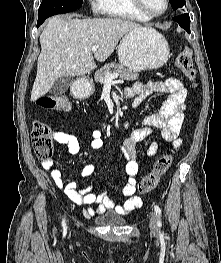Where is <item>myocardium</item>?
Segmentation results:
<instances>
[{
    "label": "myocardium",
    "instance_id": "f54148a6",
    "mask_svg": "<svg viewBox=\"0 0 221 263\" xmlns=\"http://www.w3.org/2000/svg\"><path fill=\"white\" fill-rule=\"evenodd\" d=\"M132 1H133L134 6L136 7V9L140 13H142L144 15V17L147 18V19H154V18L162 16L163 14H165L167 12V10L169 9V5H170V1L169 0H165V7H164V9L161 12L151 13V12H148L146 10V8L143 5V1L142 0H132Z\"/></svg>",
    "mask_w": 221,
    "mask_h": 263
}]
</instances>
